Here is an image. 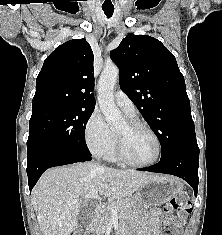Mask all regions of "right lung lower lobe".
Here are the masks:
<instances>
[{
    "mask_svg": "<svg viewBox=\"0 0 222 235\" xmlns=\"http://www.w3.org/2000/svg\"><path fill=\"white\" fill-rule=\"evenodd\" d=\"M90 160L91 154H81L75 152H55L44 155L32 164L27 165L29 189L30 191L32 190L42 173L50 167Z\"/></svg>",
    "mask_w": 222,
    "mask_h": 235,
    "instance_id": "right-lung-lower-lobe-1",
    "label": "right lung lower lobe"
}]
</instances>
